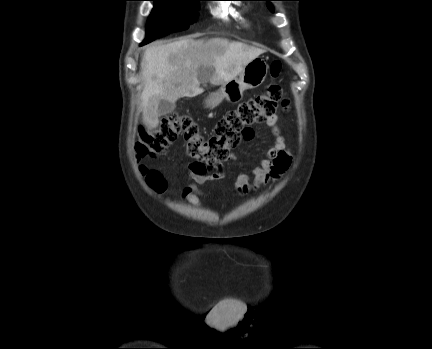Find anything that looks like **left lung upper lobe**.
<instances>
[{
  "instance_id": "left-lung-upper-lobe-1",
  "label": "left lung upper lobe",
  "mask_w": 432,
  "mask_h": 349,
  "mask_svg": "<svg viewBox=\"0 0 432 349\" xmlns=\"http://www.w3.org/2000/svg\"><path fill=\"white\" fill-rule=\"evenodd\" d=\"M264 1H275V0H264ZM267 6L271 11L273 10L272 5L270 3H268Z\"/></svg>"
}]
</instances>
